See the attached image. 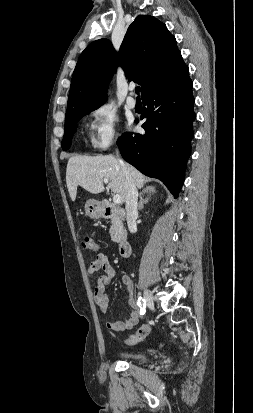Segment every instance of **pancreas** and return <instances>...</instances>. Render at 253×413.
Returning <instances> with one entry per match:
<instances>
[{
  "instance_id": "pancreas-1",
  "label": "pancreas",
  "mask_w": 253,
  "mask_h": 413,
  "mask_svg": "<svg viewBox=\"0 0 253 413\" xmlns=\"http://www.w3.org/2000/svg\"><path fill=\"white\" fill-rule=\"evenodd\" d=\"M124 233H125V230L123 228L122 221L118 217L113 218L112 225L110 228L111 239L114 242H119L121 240V237L124 235Z\"/></svg>"
}]
</instances>
